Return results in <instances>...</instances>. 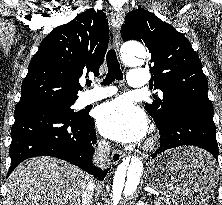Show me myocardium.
<instances>
[{
	"instance_id": "obj_1",
	"label": "myocardium",
	"mask_w": 222,
	"mask_h": 205,
	"mask_svg": "<svg viewBox=\"0 0 222 205\" xmlns=\"http://www.w3.org/2000/svg\"><path fill=\"white\" fill-rule=\"evenodd\" d=\"M155 143H156V137L153 136V137H151V138L146 142V145H145L146 149H151V148H153L154 145H155Z\"/></svg>"
}]
</instances>
